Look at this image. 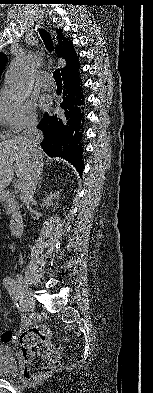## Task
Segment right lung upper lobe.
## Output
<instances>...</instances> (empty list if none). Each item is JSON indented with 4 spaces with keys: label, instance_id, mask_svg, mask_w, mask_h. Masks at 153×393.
<instances>
[{
    "label": "right lung upper lobe",
    "instance_id": "right-lung-upper-lobe-1",
    "mask_svg": "<svg viewBox=\"0 0 153 393\" xmlns=\"http://www.w3.org/2000/svg\"><path fill=\"white\" fill-rule=\"evenodd\" d=\"M59 36V45L57 48V56L62 57L66 61V66L61 69L62 76L69 72H74L79 69L76 54L74 53L70 42L62 36L61 30H57ZM7 62V57L4 53H0V74Z\"/></svg>",
    "mask_w": 153,
    "mask_h": 393
}]
</instances>
